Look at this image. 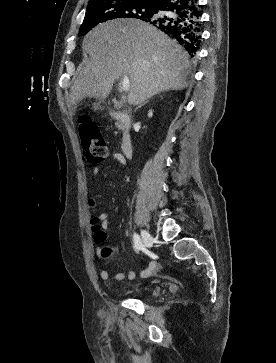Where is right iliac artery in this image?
<instances>
[{"mask_svg":"<svg viewBox=\"0 0 276 363\" xmlns=\"http://www.w3.org/2000/svg\"><path fill=\"white\" fill-rule=\"evenodd\" d=\"M133 241H134V246H135L136 251H139L143 248L142 241H141L140 237L138 236V234H136V233L134 234Z\"/></svg>","mask_w":276,"mask_h":363,"instance_id":"82829eb1","label":"right iliac artery"}]
</instances>
